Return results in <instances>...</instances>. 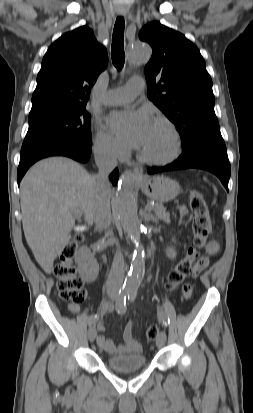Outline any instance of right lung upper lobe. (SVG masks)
<instances>
[{"instance_id": "cb5924a9", "label": "right lung upper lobe", "mask_w": 253, "mask_h": 413, "mask_svg": "<svg viewBox=\"0 0 253 413\" xmlns=\"http://www.w3.org/2000/svg\"><path fill=\"white\" fill-rule=\"evenodd\" d=\"M108 63L107 51L87 26L65 33L47 50L30 112L86 105L91 87Z\"/></svg>"}]
</instances>
